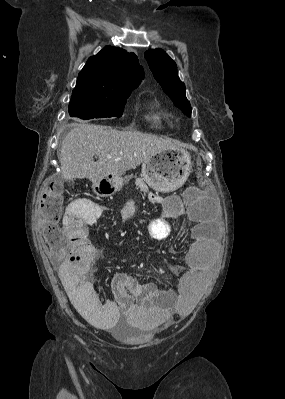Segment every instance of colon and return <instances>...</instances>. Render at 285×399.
Segmentation results:
<instances>
[{
    "mask_svg": "<svg viewBox=\"0 0 285 399\" xmlns=\"http://www.w3.org/2000/svg\"><path fill=\"white\" fill-rule=\"evenodd\" d=\"M204 181V177H200ZM99 195H104L98 190ZM64 200V189L60 183H51L42 193L39 205L38 214L40 220L43 222L42 233L51 251L57 255L64 253V232L59 225L61 219V207Z\"/></svg>",
    "mask_w": 285,
    "mask_h": 399,
    "instance_id": "1",
    "label": "colon"
}]
</instances>
